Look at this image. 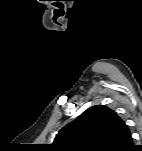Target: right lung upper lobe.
Wrapping results in <instances>:
<instances>
[{
    "instance_id": "cb5924a9",
    "label": "right lung upper lobe",
    "mask_w": 142,
    "mask_h": 151,
    "mask_svg": "<svg viewBox=\"0 0 142 151\" xmlns=\"http://www.w3.org/2000/svg\"><path fill=\"white\" fill-rule=\"evenodd\" d=\"M130 130L112 109L96 105L63 127L55 137L56 151H130Z\"/></svg>"
}]
</instances>
